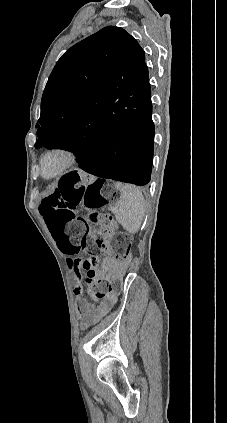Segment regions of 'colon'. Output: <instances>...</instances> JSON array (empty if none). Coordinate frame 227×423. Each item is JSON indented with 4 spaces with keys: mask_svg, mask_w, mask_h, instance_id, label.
Returning a JSON list of instances; mask_svg holds the SVG:
<instances>
[{
    "mask_svg": "<svg viewBox=\"0 0 227 423\" xmlns=\"http://www.w3.org/2000/svg\"><path fill=\"white\" fill-rule=\"evenodd\" d=\"M116 196L112 186L99 181H86L77 173L63 176L53 192L42 199L39 210L57 242L59 249L69 255H78L85 250L89 256L68 260L75 288L84 279L89 284V293L100 300L107 297L114 287L97 277L94 256L107 248L105 233L115 226L113 217L107 213L94 212L90 220L97 228L90 231L86 219L78 215V206L98 210ZM110 248L117 261H127L131 256V237L123 232H114Z\"/></svg>",
    "mask_w": 227,
    "mask_h": 423,
    "instance_id": "obj_1",
    "label": "colon"
}]
</instances>
